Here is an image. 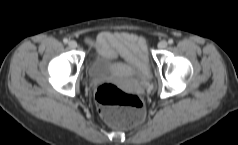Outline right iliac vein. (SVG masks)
I'll use <instances>...</instances> for the list:
<instances>
[{
    "label": "right iliac vein",
    "mask_w": 238,
    "mask_h": 145,
    "mask_svg": "<svg viewBox=\"0 0 238 145\" xmlns=\"http://www.w3.org/2000/svg\"><path fill=\"white\" fill-rule=\"evenodd\" d=\"M68 45L70 48L75 49L77 47V42L74 40H71L69 41Z\"/></svg>",
    "instance_id": "63e3f726"
}]
</instances>
